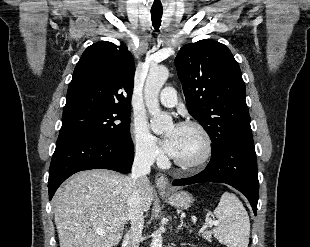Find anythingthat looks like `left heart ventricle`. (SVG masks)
<instances>
[{
    "label": "left heart ventricle",
    "instance_id": "1",
    "mask_svg": "<svg viewBox=\"0 0 310 247\" xmlns=\"http://www.w3.org/2000/svg\"><path fill=\"white\" fill-rule=\"evenodd\" d=\"M176 132V148L173 157L183 162H193L204 152V139L194 128H169L167 133Z\"/></svg>",
    "mask_w": 310,
    "mask_h": 247
}]
</instances>
